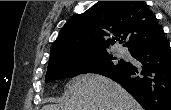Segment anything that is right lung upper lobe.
<instances>
[{
    "mask_svg": "<svg viewBox=\"0 0 171 110\" xmlns=\"http://www.w3.org/2000/svg\"><path fill=\"white\" fill-rule=\"evenodd\" d=\"M164 36L153 12L143 1H99L72 17L51 47L49 62L57 56L108 50L117 40L132 52Z\"/></svg>",
    "mask_w": 171,
    "mask_h": 110,
    "instance_id": "1",
    "label": "right lung upper lobe"
}]
</instances>
